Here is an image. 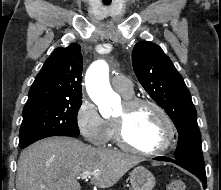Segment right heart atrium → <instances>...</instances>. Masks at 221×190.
I'll return each mask as SVG.
<instances>
[{"label": "right heart atrium", "instance_id": "d8ad5b80", "mask_svg": "<svg viewBox=\"0 0 221 190\" xmlns=\"http://www.w3.org/2000/svg\"><path fill=\"white\" fill-rule=\"evenodd\" d=\"M76 126L87 142L97 147L108 144L111 135L110 121L105 119L92 101L84 97L76 111Z\"/></svg>", "mask_w": 221, "mask_h": 190}]
</instances>
